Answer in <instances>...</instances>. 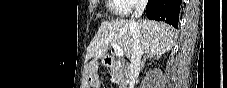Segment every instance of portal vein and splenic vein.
Listing matches in <instances>:
<instances>
[{
  "label": "portal vein and splenic vein",
  "instance_id": "obj_1",
  "mask_svg": "<svg viewBox=\"0 0 227 88\" xmlns=\"http://www.w3.org/2000/svg\"><path fill=\"white\" fill-rule=\"evenodd\" d=\"M111 47L114 49L117 56L121 57L124 55L123 49L117 43H111Z\"/></svg>",
  "mask_w": 227,
  "mask_h": 88
}]
</instances>
